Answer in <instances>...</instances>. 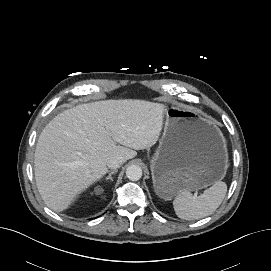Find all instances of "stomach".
I'll return each instance as SVG.
<instances>
[{"instance_id":"0dacf381","label":"stomach","mask_w":271,"mask_h":271,"mask_svg":"<svg viewBox=\"0 0 271 271\" xmlns=\"http://www.w3.org/2000/svg\"><path fill=\"white\" fill-rule=\"evenodd\" d=\"M165 108L164 132L151 159V172L156 195L171 200L223 179L228 152L221 130L198 110L181 105Z\"/></svg>"}]
</instances>
